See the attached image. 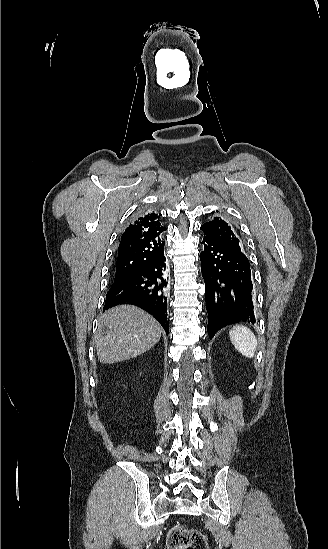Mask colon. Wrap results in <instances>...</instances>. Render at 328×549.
<instances>
[{
    "label": "colon",
    "mask_w": 328,
    "mask_h": 549,
    "mask_svg": "<svg viewBox=\"0 0 328 549\" xmlns=\"http://www.w3.org/2000/svg\"><path fill=\"white\" fill-rule=\"evenodd\" d=\"M169 549H209L205 535L183 525L173 526L166 538Z\"/></svg>",
    "instance_id": "5ec220e1"
}]
</instances>
